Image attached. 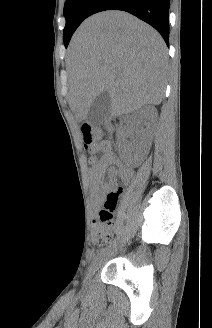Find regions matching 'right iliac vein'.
Instances as JSON below:
<instances>
[{"label":"right iliac vein","instance_id":"1","mask_svg":"<svg viewBox=\"0 0 212 328\" xmlns=\"http://www.w3.org/2000/svg\"><path fill=\"white\" fill-rule=\"evenodd\" d=\"M110 253L112 254V252H107L106 254L100 256L92 265L91 267L88 269V272L86 274L85 277V283L88 284L92 277L94 276V274L96 273V271L99 269V267L101 266V264L103 263V260L105 259V257L107 255H110Z\"/></svg>","mask_w":212,"mask_h":328}]
</instances>
